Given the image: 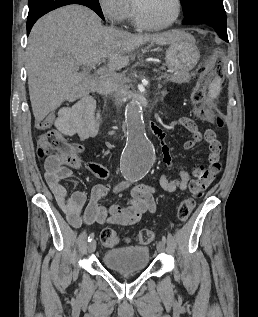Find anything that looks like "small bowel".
Returning <instances> with one entry per match:
<instances>
[{"mask_svg":"<svg viewBox=\"0 0 258 317\" xmlns=\"http://www.w3.org/2000/svg\"><path fill=\"white\" fill-rule=\"evenodd\" d=\"M176 124L188 130L192 137L184 143V149L191 150L202 140L208 149L207 166L199 165L193 172V178L179 163L173 161L167 145L163 142L164 134L156 125L151 128L154 134L162 140V153L165 170L160 177V185L167 192L190 190L199 192L208 187L221 168V144L215 132L207 129L201 133L196 123L188 117H180ZM54 125L66 136H77L80 140H87L97 136L100 129V115L95 99L83 96L73 106L60 109L57 113L48 115L38 123L39 129H46ZM85 167L97 177L110 180L111 172L101 164L85 161ZM78 167V166H77ZM176 168L179 178L170 180L168 174ZM45 178L58 206L63 210L68 222L79 228L83 224H114L130 226L137 223L147 213L156 211L155 190L147 185H138L131 190V197L125 206L112 204L108 207L100 204V200L108 194L109 185L96 184L87 201L85 193L74 191L68 195L62 181L71 177V170L60 158L50 156L45 161ZM83 212V213H82Z\"/></svg>","mask_w":258,"mask_h":317,"instance_id":"small-bowel-1","label":"small bowel"}]
</instances>
